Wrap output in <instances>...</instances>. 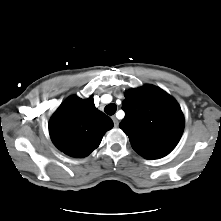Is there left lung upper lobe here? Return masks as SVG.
I'll return each mask as SVG.
<instances>
[{"label":"left lung upper lobe","instance_id":"1","mask_svg":"<svg viewBox=\"0 0 221 221\" xmlns=\"http://www.w3.org/2000/svg\"><path fill=\"white\" fill-rule=\"evenodd\" d=\"M122 108L125 118L120 128L144 158H162L179 142L184 117L175 99L162 89L146 85L127 91Z\"/></svg>","mask_w":221,"mask_h":221}]
</instances>
